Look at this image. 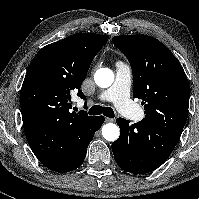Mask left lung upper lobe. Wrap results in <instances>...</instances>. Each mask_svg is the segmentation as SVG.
I'll return each mask as SVG.
<instances>
[{"label":"left lung upper lobe","instance_id":"left-lung-upper-lobe-1","mask_svg":"<svg viewBox=\"0 0 199 199\" xmlns=\"http://www.w3.org/2000/svg\"><path fill=\"white\" fill-rule=\"evenodd\" d=\"M133 72V97L142 99L145 120L182 133L189 107V85L173 53L156 38L122 35L112 38Z\"/></svg>","mask_w":199,"mask_h":199}]
</instances>
